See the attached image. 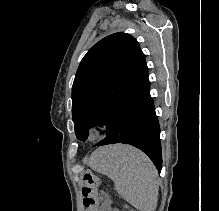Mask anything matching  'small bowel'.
Here are the masks:
<instances>
[{
	"label": "small bowel",
	"instance_id": "obj_1",
	"mask_svg": "<svg viewBox=\"0 0 219 211\" xmlns=\"http://www.w3.org/2000/svg\"><path fill=\"white\" fill-rule=\"evenodd\" d=\"M97 211H111L109 200L105 199L102 201L100 208Z\"/></svg>",
	"mask_w": 219,
	"mask_h": 211
}]
</instances>
